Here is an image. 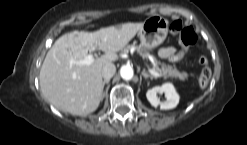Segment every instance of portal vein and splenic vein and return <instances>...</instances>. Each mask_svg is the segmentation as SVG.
I'll return each mask as SVG.
<instances>
[{
  "label": "portal vein and splenic vein",
  "instance_id": "18ae733b",
  "mask_svg": "<svg viewBox=\"0 0 247 145\" xmlns=\"http://www.w3.org/2000/svg\"><path fill=\"white\" fill-rule=\"evenodd\" d=\"M94 62V55L89 54L87 56H85L83 59L81 60H72L71 63L73 64H77V65H90ZM149 72L155 76V77H161L162 75L156 71H154L153 69L149 68Z\"/></svg>",
  "mask_w": 247,
  "mask_h": 145
}]
</instances>
